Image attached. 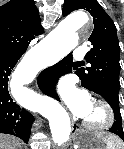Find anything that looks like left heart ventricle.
Returning <instances> with one entry per match:
<instances>
[{"mask_svg": "<svg viewBox=\"0 0 124 149\" xmlns=\"http://www.w3.org/2000/svg\"><path fill=\"white\" fill-rule=\"evenodd\" d=\"M101 118V111L99 108L95 107L93 105L90 113L86 117V119L93 120V121H98Z\"/></svg>", "mask_w": 124, "mask_h": 149, "instance_id": "obj_1", "label": "left heart ventricle"}]
</instances>
